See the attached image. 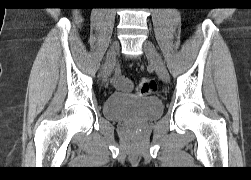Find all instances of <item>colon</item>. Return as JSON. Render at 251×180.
<instances>
[{"instance_id":"obj_1","label":"colon","mask_w":251,"mask_h":180,"mask_svg":"<svg viewBox=\"0 0 251 180\" xmlns=\"http://www.w3.org/2000/svg\"><path fill=\"white\" fill-rule=\"evenodd\" d=\"M157 85L154 80L142 78L136 85V91L140 95H149L156 91Z\"/></svg>"}]
</instances>
